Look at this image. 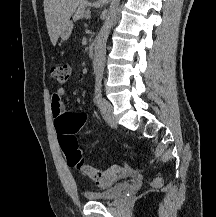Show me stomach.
<instances>
[{
    "instance_id": "stomach-1",
    "label": "stomach",
    "mask_w": 216,
    "mask_h": 217,
    "mask_svg": "<svg viewBox=\"0 0 216 217\" xmlns=\"http://www.w3.org/2000/svg\"><path fill=\"white\" fill-rule=\"evenodd\" d=\"M72 29H73V23L69 21L68 23H66V25L64 26V28L60 33L61 39L67 40L71 35Z\"/></svg>"
}]
</instances>
